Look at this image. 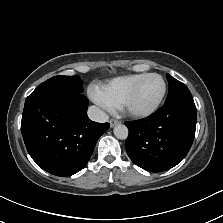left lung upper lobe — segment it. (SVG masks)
<instances>
[{
    "label": "left lung upper lobe",
    "mask_w": 223,
    "mask_h": 223,
    "mask_svg": "<svg viewBox=\"0 0 223 223\" xmlns=\"http://www.w3.org/2000/svg\"><path fill=\"white\" fill-rule=\"evenodd\" d=\"M169 92L164 104L194 103L192 95L185 84L167 74Z\"/></svg>",
    "instance_id": "obj_1"
}]
</instances>
